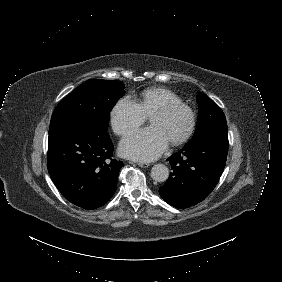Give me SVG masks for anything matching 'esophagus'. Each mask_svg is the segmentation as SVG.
I'll use <instances>...</instances> for the list:
<instances>
[{"instance_id":"1","label":"esophagus","mask_w":282,"mask_h":282,"mask_svg":"<svg viewBox=\"0 0 282 282\" xmlns=\"http://www.w3.org/2000/svg\"><path fill=\"white\" fill-rule=\"evenodd\" d=\"M137 165H138L139 167H143V168H146V167H149V166H150L149 163H144V162H138Z\"/></svg>"}]
</instances>
